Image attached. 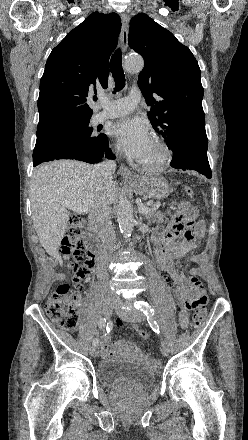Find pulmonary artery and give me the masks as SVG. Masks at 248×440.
Instances as JSON below:
<instances>
[{"label": "pulmonary artery", "mask_w": 248, "mask_h": 440, "mask_svg": "<svg viewBox=\"0 0 248 440\" xmlns=\"http://www.w3.org/2000/svg\"><path fill=\"white\" fill-rule=\"evenodd\" d=\"M140 100L141 92L136 88L132 89L128 96L113 101L101 96L98 101L100 110L92 116V121L98 124L106 119L126 115L136 107Z\"/></svg>", "instance_id": "1"}]
</instances>
